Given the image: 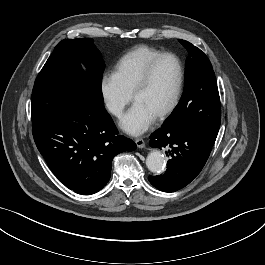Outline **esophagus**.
<instances>
[{
	"label": "esophagus",
	"instance_id": "esophagus-1",
	"mask_svg": "<svg viewBox=\"0 0 265 265\" xmlns=\"http://www.w3.org/2000/svg\"><path fill=\"white\" fill-rule=\"evenodd\" d=\"M135 143H136L138 148H144L145 147V142L142 138L136 139Z\"/></svg>",
	"mask_w": 265,
	"mask_h": 265
}]
</instances>
